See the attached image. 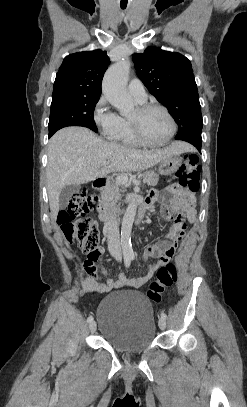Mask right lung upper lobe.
<instances>
[{
	"instance_id": "1",
	"label": "right lung upper lobe",
	"mask_w": 247,
	"mask_h": 407,
	"mask_svg": "<svg viewBox=\"0 0 247 407\" xmlns=\"http://www.w3.org/2000/svg\"><path fill=\"white\" fill-rule=\"evenodd\" d=\"M109 64L106 52L101 50L67 56L57 73L53 97L62 95L99 97L102 77Z\"/></svg>"
}]
</instances>
